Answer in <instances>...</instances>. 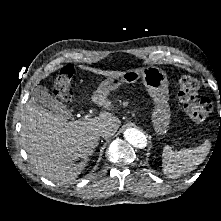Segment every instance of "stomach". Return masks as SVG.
Here are the masks:
<instances>
[{
  "label": "stomach",
  "instance_id": "1",
  "mask_svg": "<svg viewBox=\"0 0 221 221\" xmlns=\"http://www.w3.org/2000/svg\"><path fill=\"white\" fill-rule=\"evenodd\" d=\"M142 78L144 86L154 102L151 120L157 135L167 133L170 124V107L168 104V80L165 72L154 66L131 69L116 76L107 77L97 88L94 95L107 96L121 84H133Z\"/></svg>",
  "mask_w": 221,
  "mask_h": 221
}]
</instances>
